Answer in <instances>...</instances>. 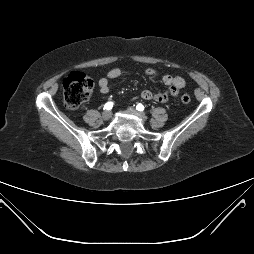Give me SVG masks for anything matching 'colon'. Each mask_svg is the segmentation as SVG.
Masks as SVG:
<instances>
[{
  "label": "colon",
  "instance_id": "colon-1",
  "mask_svg": "<svg viewBox=\"0 0 254 254\" xmlns=\"http://www.w3.org/2000/svg\"><path fill=\"white\" fill-rule=\"evenodd\" d=\"M94 88L93 80L82 72L71 73L63 82V99L68 109H77L86 102ZM181 101L185 104L190 103L191 97L188 94L181 96Z\"/></svg>",
  "mask_w": 254,
  "mask_h": 254
}]
</instances>
